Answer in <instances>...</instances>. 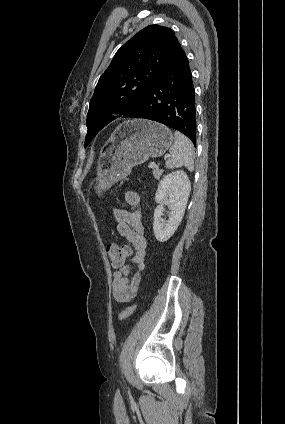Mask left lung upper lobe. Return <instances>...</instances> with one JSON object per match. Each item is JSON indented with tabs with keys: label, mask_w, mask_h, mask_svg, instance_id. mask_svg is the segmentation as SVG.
Returning <instances> with one entry per match:
<instances>
[{
	"label": "left lung upper lobe",
	"mask_w": 285,
	"mask_h": 424,
	"mask_svg": "<svg viewBox=\"0 0 285 424\" xmlns=\"http://www.w3.org/2000/svg\"><path fill=\"white\" fill-rule=\"evenodd\" d=\"M178 43L170 28L150 25L116 52L90 101L84 147L112 121L111 111L125 112L141 100L165 69Z\"/></svg>",
	"instance_id": "left-lung-upper-lobe-1"
}]
</instances>
